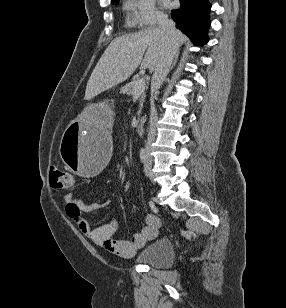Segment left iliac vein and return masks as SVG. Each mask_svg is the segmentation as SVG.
<instances>
[{
  "instance_id": "left-iliac-vein-1",
  "label": "left iliac vein",
  "mask_w": 286,
  "mask_h": 308,
  "mask_svg": "<svg viewBox=\"0 0 286 308\" xmlns=\"http://www.w3.org/2000/svg\"><path fill=\"white\" fill-rule=\"evenodd\" d=\"M147 153L149 154V152L147 151ZM150 166H151V158L150 156H148L146 165H145V173L146 175H148L150 173Z\"/></svg>"
}]
</instances>
